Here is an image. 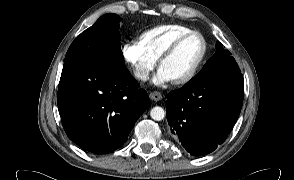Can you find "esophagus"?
Returning <instances> with one entry per match:
<instances>
[{
    "mask_svg": "<svg viewBox=\"0 0 294 180\" xmlns=\"http://www.w3.org/2000/svg\"><path fill=\"white\" fill-rule=\"evenodd\" d=\"M149 96L153 101H159L162 99V94L159 91H153Z\"/></svg>",
    "mask_w": 294,
    "mask_h": 180,
    "instance_id": "34e87169",
    "label": "esophagus"
}]
</instances>
